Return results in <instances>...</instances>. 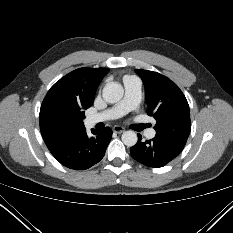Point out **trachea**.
I'll use <instances>...</instances> for the list:
<instances>
[{"instance_id":"obj_1","label":"trachea","mask_w":233,"mask_h":233,"mask_svg":"<svg viewBox=\"0 0 233 233\" xmlns=\"http://www.w3.org/2000/svg\"><path fill=\"white\" fill-rule=\"evenodd\" d=\"M147 127H149L148 124H142V125H141V128H142V129L147 128Z\"/></svg>"}]
</instances>
